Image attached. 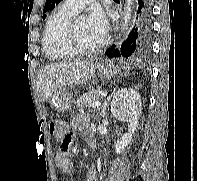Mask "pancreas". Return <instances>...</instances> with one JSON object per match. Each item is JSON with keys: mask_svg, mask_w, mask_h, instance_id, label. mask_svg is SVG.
<instances>
[{"mask_svg": "<svg viewBox=\"0 0 197 181\" xmlns=\"http://www.w3.org/2000/svg\"><path fill=\"white\" fill-rule=\"evenodd\" d=\"M101 98L99 93H85L79 97L76 101V105L79 109L90 108L92 104Z\"/></svg>", "mask_w": 197, "mask_h": 181, "instance_id": "cf45deb5", "label": "pancreas"}]
</instances>
